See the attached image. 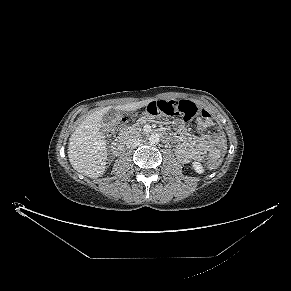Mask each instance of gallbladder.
I'll use <instances>...</instances> for the list:
<instances>
[{
	"mask_svg": "<svg viewBox=\"0 0 291 291\" xmlns=\"http://www.w3.org/2000/svg\"><path fill=\"white\" fill-rule=\"evenodd\" d=\"M119 117V113L114 108L106 112L102 117L103 129L106 132L112 131L115 127V123Z\"/></svg>",
	"mask_w": 291,
	"mask_h": 291,
	"instance_id": "bac80fb5",
	"label": "gallbladder"
}]
</instances>
